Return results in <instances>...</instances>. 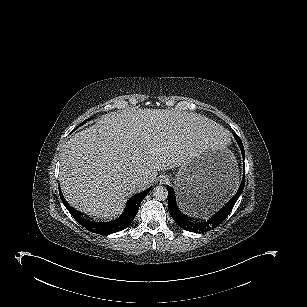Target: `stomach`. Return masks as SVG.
<instances>
[{"instance_id": "stomach-1", "label": "stomach", "mask_w": 307, "mask_h": 307, "mask_svg": "<svg viewBox=\"0 0 307 307\" xmlns=\"http://www.w3.org/2000/svg\"><path fill=\"white\" fill-rule=\"evenodd\" d=\"M238 178L231 151L218 148L199 151L178 168L175 186L179 205L189 214L215 208L234 193Z\"/></svg>"}]
</instances>
